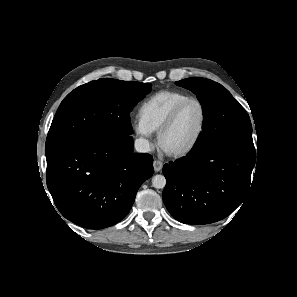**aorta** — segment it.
I'll use <instances>...</instances> for the list:
<instances>
[{
    "mask_svg": "<svg viewBox=\"0 0 297 297\" xmlns=\"http://www.w3.org/2000/svg\"><path fill=\"white\" fill-rule=\"evenodd\" d=\"M152 185L156 189H163L166 185V179L164 175L157 174L152 178Z\"/></svg>",
    "mask_w": 297,
    "mask_h": 297,
    "instance_id": "aorta-1",
    "label": "aorta"
}]
</instances>
